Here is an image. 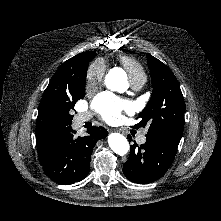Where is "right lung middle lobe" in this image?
Listing matches in <instances>:
<instances>
[{
	"label": "right lung middle lobe",
	"mask_w": 221,
	"mask_h": 221,
	"mask_svg": "<svg viewBox=\"0 0 221 221\" xmlns=\"http://www.w3.org/2000/svg\"><path fill=\"white\" fill-rule=\"evenodd\" d=\"M86 75L70 88H60L51 93L49 101L43 106V114H48L55 127L62 130L71 126L75 103L85 96Z\"/></svg>",
	"instance_id": "right-lung-middle-lobe-1"
}]
</instances>
